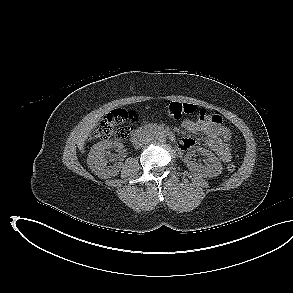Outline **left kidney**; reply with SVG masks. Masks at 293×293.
Listing matches in <instances>:
<instances>
[{
    "mask_svg": "<svg viewBox=\"0 0 293 293\" xmlns=\"http://www.w3.org/2000/svg\"><path fill=\"white\" fill-rule=\"evenodd\" d=\"M196 152H200L207 157L205 166L193 161ZM184 162L187 164L190 171L197 173L201 177L211 178L218 176L222 172V164L219 159L211 151L202 147H193L185 155Z\"/></svg>",
    "mask_w": 293,
    "mask_h": 293,
    "instance_id": "1",
    "label": "left kidney"
}]
</instances>
